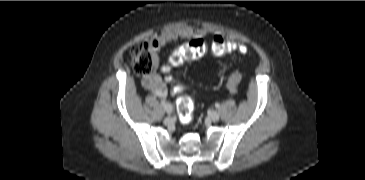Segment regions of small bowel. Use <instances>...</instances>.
<instances>
[{
	"label": "small bowel",
	"instance_id": "obj_1",
	"mask_svg": "<svg viewBox=\"0 0 365 180\" xmlns=\"http://www.w3.org/2000/svg\"><path fill=\"white\" fill-rule=\"evenodd\" d=\"M203 35V30L196 27H187L181 29L170 30L157 38L148 42V44L157 53L165 45L178 39H196ZM236 74V73H235ZM234 75V74H233ZM232 75V76H233ZM231 76V77H232ZM144 85L155 94L165 97L167 95V86L159 74L151 75L143 79Z\"/></svg>",
	"mask_w": 365,
	"mask_h": 180
}]
</instances>
